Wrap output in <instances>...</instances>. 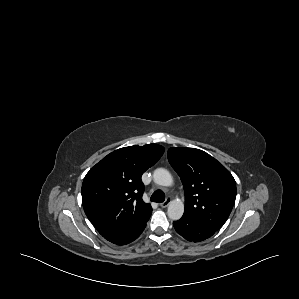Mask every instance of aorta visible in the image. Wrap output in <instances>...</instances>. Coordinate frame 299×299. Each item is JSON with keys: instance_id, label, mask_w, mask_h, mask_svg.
Wrapping results in <instances>:
<instances>
[{"instance_id": "762f6f07", "label": "aorta", "mask_w": 299, "mask_h": 299, "mask_svg": "<svg viewBox=\"0 0 299 299\" xmlns=\"http://www.w3.org/2000/svg\"><path fill=\"white\" fill-rule=\"evenodd\" d=\"M153 180L156 184L161 186H171L173 178L169 171L164 168H157L153 172ZM184 213V204L180 199L172 200L168 205L167 214L172 220H179Z\"/></svg>"}]
</instances>
